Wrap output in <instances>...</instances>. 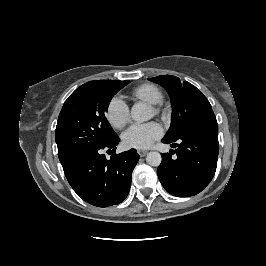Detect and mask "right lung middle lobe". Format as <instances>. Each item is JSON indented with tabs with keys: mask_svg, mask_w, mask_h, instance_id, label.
Instances as JSON below:
<instances>
[{
	"mask_svg": "<svg viewBox=\"0 0 266 266\" xmlns=\"http://www.w3.org/2000/svg\"><path fill=\"white\" fill-rule=\"evenodd\" d=\"M130 81L99 80L75 90L58 117L55 140L62 165L80 153L98 149L117 135L105 117L112 97Z\"/></svg>",
	"mask_w": 266,
	"mask_h": 266,
	"instance_id": "obj_1",
	"label": "right lung middle lobe"
}]
</instances>
